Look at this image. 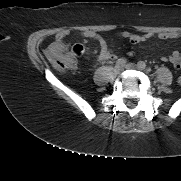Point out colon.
I'll list each match as a JSON object with an SVG mask.
<instances>
[{
  "label": "colon",
  "mask_w": 181,
  "mask_h": 181,
  "mask_svg": "<svg viewBox=\"0 0 181 181\" xmlns=\"http://www.w3.org/2000/svg\"><path fill=\"white\" fill-rule=\"evenodd\" d=\"M83 52L84 47L82 45H75L71 52L59 48L49 53V60L56 69L64 71L75 67L76 57L81 56ZM179 84L181 85V76L179 77Z\"/></svg>",
  "instance_id": "1"
}]
</instances>
